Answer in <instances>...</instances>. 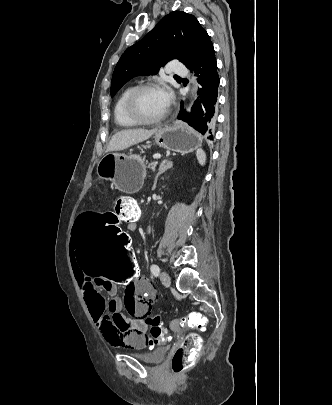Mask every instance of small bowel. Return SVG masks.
<instances>
[{
    "instance_id": "obj_1",
    "label": "small bowel",
    "mask_w": 332,
    "mask_h": 405,
    "mask_svg": "<svg viewBox=\"0 0 332 405\" xmlns=\"http://www.w3.org/2000/svg\"><path fill=\"white\" fill-rule=\"evenodd\" d=\"M127 223L129 230L136 229V224L130 218ZM75 251V246L70 245L69 254L75 277L89 312L106 341L116 347H132L133 353H146L142 346L148 340L140 338V334L150 327L145 324V317L148 316L150 302L157 300L158 290L151 288L146 280L139 279L131 287H126L122 300L114 281H100L99 275H83L80 262H76ZM101 290L108 293V300L101 295ZM122 310L127 311L131 318L124 316Z\"/></svg>"
}]
</instances>
